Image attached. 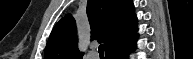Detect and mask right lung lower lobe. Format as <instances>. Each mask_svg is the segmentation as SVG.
<instances>
[{
	"label": "right lung lower lobe",
	"mask_w": 193,
	"mask_h": 59,
	"mask_svg": "<svg viewBox=\"0 0 193 59\" xmlns=\"http://www.w3.org/2000/svg\"><path fill=\"white\" fill-rule=\"evenodd\" d=\"M137 34L118 44L106 53V59H128V53L135 47Z\"/></svg>",
	"instance_id": "1"
}]
</instances>
